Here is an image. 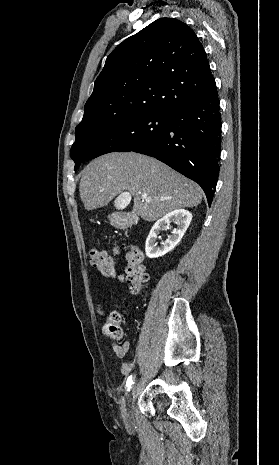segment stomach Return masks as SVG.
<instances>
[{
	"label": "stomach",
	"instance_id": "stomach-1",
	"mask_svg": "<svg viewBox=\"0 0 279 465\" xmlns=\"http://www.w3.org/2000/svg\"><path fill=\"white\" fill-rule=\"evenodd\" d=\"M109 218L115 227H125L128 224V221L120 214H112Z\"/></svg>",
	"mask_w": 279,
	"mask_h": 465
}]
</instances>
